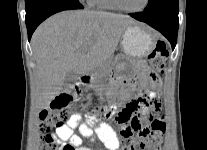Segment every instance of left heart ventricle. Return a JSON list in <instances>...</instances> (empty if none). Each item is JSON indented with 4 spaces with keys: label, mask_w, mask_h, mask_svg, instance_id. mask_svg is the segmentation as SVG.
Instances as JSON below:
<instances>
[{
    "label": "left heart ventricle",
    "mask_w": 207,
    "mask_h": 150,
    "mask_svg": "<svg viewBox=\"0 0 207 150\" xmlns=\"http://www.w3.org/2000/svg\"><path fill=\"white\" fill-rule=\"evenodd\" d=\"M145 0H120L121 4L127 9H138L142 7Z\"/></svg>",
    "instance_id": "obj_1"
}]
</instances>
